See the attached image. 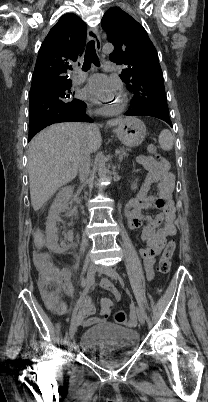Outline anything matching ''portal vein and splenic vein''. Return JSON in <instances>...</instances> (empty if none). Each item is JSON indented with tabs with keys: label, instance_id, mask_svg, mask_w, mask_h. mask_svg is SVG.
Wrapping results in <instances>:
<instances>
[{
	"label": "portal vein and splenic vein",
	"instance_id": "obj_1",
	"mask_svg": "<svg viewBox=\"0 0 208 402\" xmlns=\"http://www.w3.org/2000/svg\"><path fill=\"white\" fill-rule=\"evenodd\" d=\"M120 156H122V153L117 154V157H120Z\"/></svg>",
	"mask_w": 208,
	"mask_h": 402
}]
</instances>
